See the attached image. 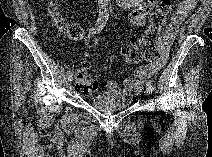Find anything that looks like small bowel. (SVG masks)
<instances>
[{
  "instance_id": "1",
  "label": "small bowel",
  "mask_w": 212,
  "mask_h": 157,
  "mask_svg": "<svg viewBox=\"0 0 212 157\" xmlns=\"http://www.w3.org/2000/svg\"><path fill=\"white\" fill-rule=\"evenodd\" d=\"M119 5L129 13V19L134 26L144 27L147 16L153 8V0H120ZM194 0H181L177 9L173 13L170 22L165 30L169 38L163 37L160 55L156 60L141 66L136 70V76L126 77L123 80L124 89L133 92H139L145 80L156 74L167 62L169 58L171 42L175 38L179 26L183 23L189 12L195 8ZM109 87L116 88L117 83L110 81Z\"/></svg>"
}]
</instances>
